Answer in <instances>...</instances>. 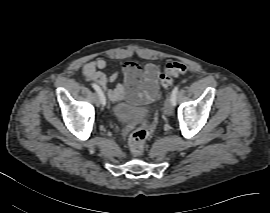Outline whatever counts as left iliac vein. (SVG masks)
Here are the masks:
<instances>
[{
  "label": "left iliac vein",
  "instance_id": "left-iliac-vein-1",
  "mask_svg": "<svg viewBox=\"0 0 270 213\" xmlns=\"http://www.w3.org/2000/svg\"><path fill=\"white\" fill-rule=\"evenodd\" d=\"M164 113L168 116L172 115L173 114V104L171 102V99L170 97L167 98V100L165 101V104H164Z\"/></svg>",
  "mask_w": 270,
  "mask_h": 213
}]
</instances>
